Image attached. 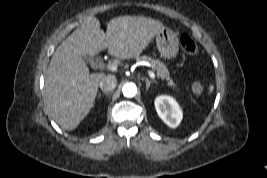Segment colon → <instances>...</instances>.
Returning a JSON list of instances; mask_svg holds the SVG:
<instances>
[{
  "mask_svg": "<svg viewBox=\"0 0 267 178\" xmlns=\"http://www.w3.org/2000/svg\"><path fill=\"white\" fill-rule=\"evenodd\" d=\"M181 46L185 53L189 55H195L198 51L196 43L187 35L181 37ZM196 88H200L199 84H195Z\"/></svg>",
  "mask_w": 267,
  "mask_h": 178,
  "instance_id": "1",
  "label": "colon"
}]
</instances>
